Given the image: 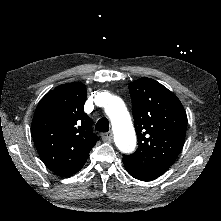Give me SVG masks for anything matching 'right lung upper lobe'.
Here are the masks:
<instances>
[{"mask_svg": "<svg viewBox=\"0 0 221 221\" xmlns=\"http://www.w3.org/2000/svg\"><path fill=\"white\" fill-rule=\"evenodd\" d=\"M86 87L67 83L48 92L35 110L31 132L44 164L57 175L68 177L87 161L99 139L84 113Z\"/></svg>", "mask_w": 221, "mask_h": 221, "instance_id": "right-lung-upper-lobe-1", "label": "right lung upper lobe"}]
</instances>
